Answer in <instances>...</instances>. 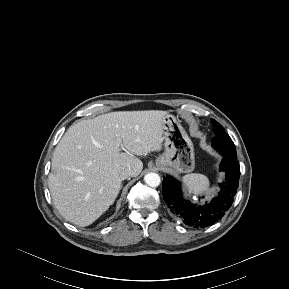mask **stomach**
Wrapping results in <instances>:
<instances>
[{
	"label": "stomach",
	"mask_w": 289,
	"mask_h": 289,
	"mask_svg": "<svg viewBox=\"0 0 289 289\" xmlns=\"http://www.w3.org/2000/svg\"><path fill=\"white\" fill-rule=\"evenodd\" d=\"M164 153L156 159L160 169L170 168L176 173H189L195 167L194 147L180 120L168 114L163 122Z\"/></svg>",
	"instance_id": "1"
}]
</instances>
